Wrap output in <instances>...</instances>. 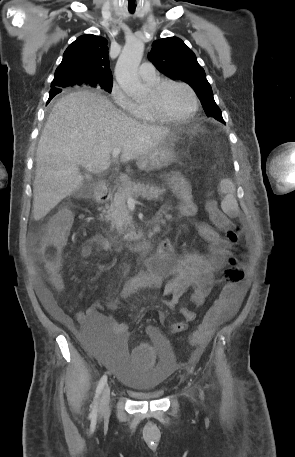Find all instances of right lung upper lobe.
I'll return each mask as SVG.
<instances>
[{
	"mask_svg": "<svg viewBox=\"0 0 295 457\" xmlns=\"http://www.w3.org/2000/svg\"><path fill=\"white\" fill-rule=\"evenodd\" d=\"M107 44L105 38L92 34L78 37L64 52L51 89L60 90L68 84L90 86L112 82Z\"/></svg>",
	"mask_w": 295,
	"mask_h": 457,
	"instance_id": "1",
	"label": "right lung upper lobe"
}]
</instances>
